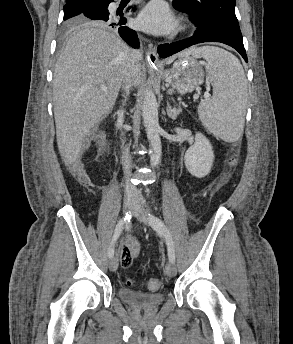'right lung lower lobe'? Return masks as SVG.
Returning a JSON list of instances; mask_svg holds the SVG:
<instances>
[{
  "label": "right lung lower lobe",
  "instance_id": "1",
  "mask_svg": "<svg viewBox=\"0 0 293 344\" xmlns=\"http://www.w3.org/2000/svg\"><path fill=\"white\" fill-rule=\"evenodd\" d=\"M113 0H96L85 11L82 16L88 20H102L106 25L115 28L120 37L134 48L139 47L137 34L134 30L126 26V18L121 16H112L108 12V6ZM130 8V7H129Z\"/></svg>",
  "mask_w": 293,
  "mask_h": 344
}]
</instances>
